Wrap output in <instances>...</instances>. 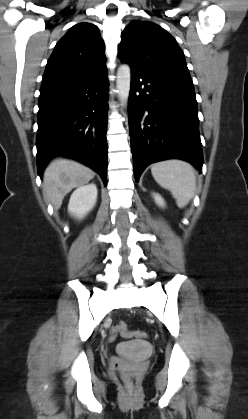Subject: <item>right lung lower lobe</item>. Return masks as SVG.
Listing matches in <instances>:
<instances>
[{"instance_id": "obj_1", "label": "right lung lower lobe", "mask_w": 248, "mask_h": 419, "mask_svg": "<svg viewBox=\"0 0 248 419\" xmlns=\"http://www.w3.org/2000/svg\"><path fill=\"white\" fill-rule=\"evenodd\" d=\"M107 69L82 80L40 89L37 166L41 176L57 155L74 158L107 180Z\"/></svg>"}]
</instances>
